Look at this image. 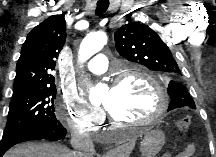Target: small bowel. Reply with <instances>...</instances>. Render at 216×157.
<instances>
[{
	"label": "small bowel",
	"mask_w": 216,
	"mask_h": 157,
	"mask_svg": "<svg viewBox=\"0 0 216 157\" xmlns=\"http://www.w3.org/2000/svg\"><path fill=\"white\" fill-rule=\"evenodd\" d=\"M195 146L189 144L183 151H181L178 157H191L194 154Z\"/></svg>",
	"instance_id": "small-bowel-1"
}]
</instances>
